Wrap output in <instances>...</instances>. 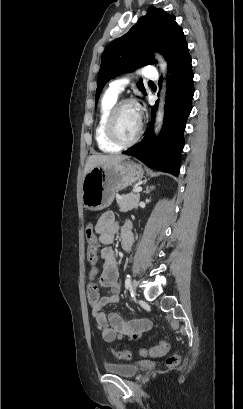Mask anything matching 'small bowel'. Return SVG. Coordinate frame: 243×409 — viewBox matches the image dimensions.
Here are the masks:
<instances>
[{
  "label": "small bowel",
  "mask_w": 243,
  "mask_h": 409,
  "mask_svg": "<svg viewBox=\"0 0 243 409\" xmlns=\"http://www.w3.org/2000/svg\"><path fill=\"white\" fill-rule=\"evenodd\" d=\"M95 232L98 235L102 247L95 258L89 259L92 264H96L98 258L103 260L102 271L98 281L89 283L88 286L101 287L108 290V294L102 296L98 303L92 305V316L95 319L96 327L101 333V337L106 342H113L121 337L139 339L141 334L151 327V322L146 318H138L126 322L117 312L106 314L104 307L119 301L120 283L119 271L114 251L107 246L113 243L115 236L121 232L122 243L126 250L131 248L133 243V232L130 225H120L112 212H106L101 215L95 225ZM128 238L124 240V235ZM97 270L93 268L90 272V278H95Z\"/></svg>",
  "instance_id": "small-bowel-1"
}]
</instances>
